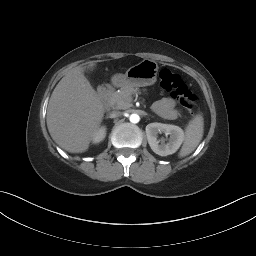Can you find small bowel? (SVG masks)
Wrapping results in <instances>:
<instances>
[{
    "instance_id": "small-bowel-1",
    "label": "small bowel",
    "mask_w": 256,
    "mask_h": 256,
    "mask_svg": "<svg viewBox=\"0 0 256 256\" xmlns=\"http://www.w3.org/2000/svg\"><path fill=\"white\" fill-rule=\"evenodd\" d=\"M153 109L159 116L167 120L177 119L180 114L174 100L171 98H163L155 102Z\"/></svg>"
}]
</instances>
